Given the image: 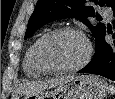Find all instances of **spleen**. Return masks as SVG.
<instances>
[{
    "mask_svg": "<svg viewBox=\"0 0 115 99\" xmlns=\"http://www.w3.org/2000/svg\"><path fill=\"white\" fill-rule=\"evenodd\" d=\"M109 90H110L111 94H115V87L113 85L109 86Z\"/></svg>",
    "mask_w": 115,
    "mask_h": 99,
    "instance_id": "3e777b00",
    "label": "spleen"
}]
</instances>
